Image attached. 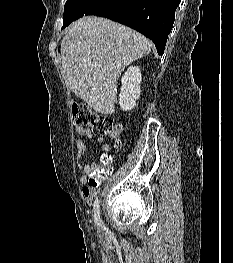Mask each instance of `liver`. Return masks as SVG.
Returning <instances> with one entry per match:
<instances>
[{
	"instance_id": "liver-1",
	"label": "liver",
	"mask_w": 233,
	"mask_h": 263,
	"mask_svg": "<svg viewBox=\"0 0 233 263\" xmlns=\"http://www.w3.org/2000/svg\"><path fill=\"white\" fill-rule=\"evenodd\" d=\"M152 46L149 39L122 24L83 17L66 29L61 42L66 85L96 112L112 114L119 76L127 65L148 55Z\"/></svg>"
}]
</instances>
